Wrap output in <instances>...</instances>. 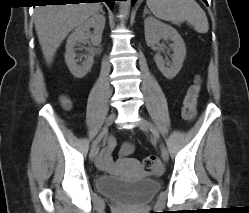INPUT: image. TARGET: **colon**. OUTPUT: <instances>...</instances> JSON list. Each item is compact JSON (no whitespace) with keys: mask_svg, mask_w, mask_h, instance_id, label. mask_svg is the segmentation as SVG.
Listing matches in <instances>:
<instances>
[{"mask_svg":"<svg viewBox=\"0 0 249 213\" xmlns=\"http://www.w3.org/2000/svg\"><path fill=\"white\" fill-rule=\"evenodd\" d=\"M201 91V79L197 77L194 84H192L183 99L182 116L185 120H192L196 115L197 101ZM62 103L66 108L70 107L68 99L63 98ZM143 165L147 170H157L160 166V161L156 156H148L144 159Z\"/></svg>","mask_w":249,"mask_h":213,"instance_id":"obj_1","label":"colon"}]
</instances>
